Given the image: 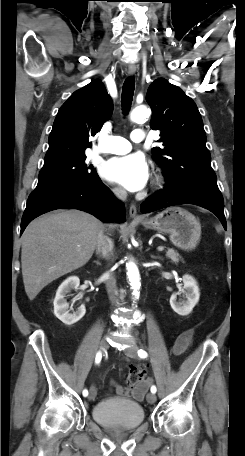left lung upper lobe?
Segmentation results:
<instances>
[{"mask_svg":"<svg viewBox=\"0 0 245 456\" xmlns=\"http://www.w3.org/2000/svg\"><path fill=\"white\" fill-rule=\"evenodd\" d=\"M146 101L152 108L150 126L161 131L162 147L152 148L153 158L163 169L167 183L218 189L194 101L164 78L149 86Z\"/></svg>","mask_w":245,"mask_h":456,"instance_id":"obj_1","label":"left lung upper lobe"}]
</instances>
